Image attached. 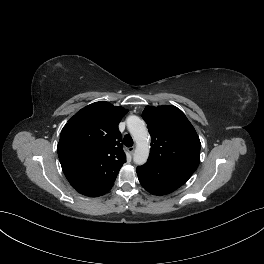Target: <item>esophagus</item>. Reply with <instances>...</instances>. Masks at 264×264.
I'll use <instances>...</instances> for the list:
<instances>
[{"instance_id":"obj_1","label":"esophagus","mask_w":264,"mask_h":264,"mask_svg":"<svg viewBox=\"0 0 264 264\" xmlns=\"http://www.w3.org/2000/svg\"><path fill=\"white\" fill-rule=\"evenodd\" d=\"M134 151H135V147H134V146L128 148V152H129L130 154H133Z\"/></svg>"}]
</instances>
